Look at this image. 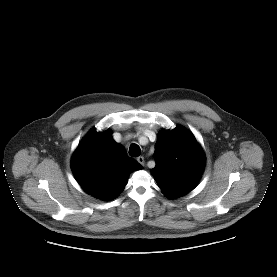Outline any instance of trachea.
<instances>
[{
    "label": "trachea",
    "instance_id": "trachea-1",
    "mask_svg": "<svg viewBox=\"0 0 277 277\" xmlns=\"http://www.w3.org/2000/svg\"><path fill=\"white\" fill-rule=\"evenodd\" d=\"M141 154V149L137 144H132L129 148V155L138 157Z\"/></svg>",
    "mask_w": 277,
    "mask_h": 277
}]
</instances>
